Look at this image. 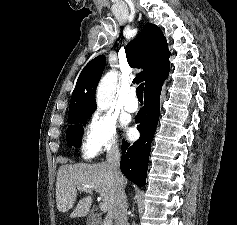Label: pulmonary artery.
<instances>
[{"mask_svg":"<svg viewBox=\"0 0 237 225\" xmlns=\"http://www.w3.org/2000/svg\"><path fill=\"white\" fill-rule=\"evenodd\" d=\"M124 109L130 113H134L138 110V101L134 89L128 91L124 102Z\"/></svg>","mask_w":237,"mask_h":225,"instance_id":"1","label":"pulmonary artery"}]
</instances>
